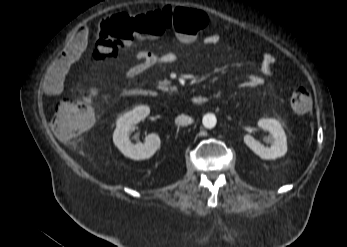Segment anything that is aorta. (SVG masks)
I'll use <instances>...</instances> for the list:
<instances>
[{
    "label": "aorta",
    "mask_w": 347,
    "mask_h": 247,
    "mask_svg": "<svg viewBox=\"0 0 347 247\" xmlns=\"http://www.w3.org/2000/svg\"><path fill=\"white\" fill-rule=\"evenodd\" d=\"M202 123H203L204 127L210 129V128L215 127V125L217 123V119H216L214 114L208 113V114L204 115V117L202 119Z\"/></svg>",
    "instance_id": "762f6f07"
}]
</instances>
